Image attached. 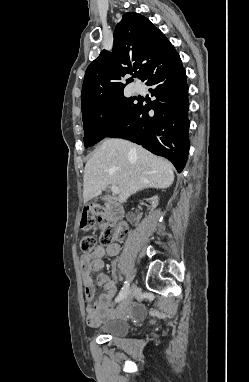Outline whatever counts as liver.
<instances>
[{
  "label": "liver",
  "instance_id": "1",
  "mask_svg": "<svg viewBox=\"0 0 249 382\" xmlns=\"http://www.w3.org/2000/svg\"><path fill=\"white\" fill-rule=\"evenodd\" d=\"M173 181L170 162L129 141L106 139L85 165L83 199L88 202L109 185H116L120 191L118 200L123 203L141 189H164Z\"/></svg>",
  "mask_w": 249,
  "mask_h": 382
}]
</instances>
